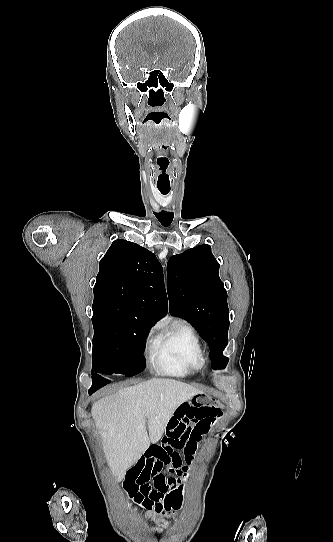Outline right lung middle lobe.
Wrapping results in <instances>:
<instances>
[{"label": "right lung middle lobe", "instance_id": "dd1d6c3e", "mask_svg": "<svg viewBox=\"0 0 333 542\" xmlns=\"http://www.w3.org/2000/svg\"><path fill=\"white\" fill-rule=\"evenodd\" d=\"M92 323L93 372L131 377L143 371L145 341L153 323L111 309H93Z\"/></svg>", "mask_w": 333, "mask_h": 542}]
</instances>
